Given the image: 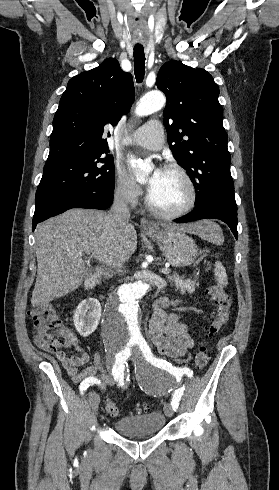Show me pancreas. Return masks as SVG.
Wrapping results in <instances>:
<instances>
[{
  "instance_id": "1",
  "label": "pancreas",
  "mask_w": 279,
  "mask_h": 490,
  "mask_svg": "<svg viewBox=\"0 0 279 490\" xmlns=\"http://www.w3.org/2000/svg\"><path fill=\"white\" fill-rule=\"evenodd\" d=\"M168 282H173L176 288H179L181 292H194L195 282L194 280H183L178 274H167Z\"/></svg>"
}]
</instances>
